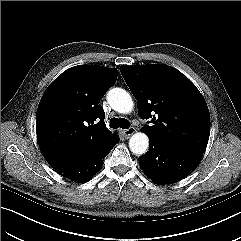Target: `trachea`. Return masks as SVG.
Here are the masks:
<instances>
[{
    "mask_svg": "<svg viewBox=\"0 0 241 241\" xmlns=\"http://www.w3.org/2000/svg\"><path fill=\"white\" fill-rule=\"evenodd\" d=\"M129 121L125 118H120V119H117V118H112L110 120V127L111 128H123V129H128L129 128Z\"/></svg>",
    "mask_w": 241,
    "mask_h": 241,
    "instance_id": "trachea-1",
    "label": "trachea"
}]
</instances>
